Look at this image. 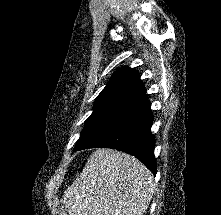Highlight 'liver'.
Segmentation results:
<instances>
[{
    "label": "liver",
    "instance_id": "liver-1",
    "mask_svg": "<svg viewBox=\"0 0 221 215\" xmlns=\"http://www.w3.org/2000/svg\"><path fill=\"white\" fill-rule=\"evenodd\" d=\"M152 192V175L139 160L100 148L64 192L62 203L69 215H143Z\"/></svg>",
    "mask_w": 221,
    "mask_h": 215
}]
</instances>
